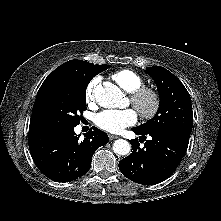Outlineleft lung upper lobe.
Returning <instances> with one entry per match:
<instances>
[{"label": "left lung upper lobe", "instance_id": "obj_1", "mask_svg": "<svg viewBox=\"0 0 221 221\" xmlns=\"http://www.w3.org/2000/svg\"><path fill=\"white\" fill-rule=\"evenodd\" d=\"M160 94L157 114L135 129L142 133L173 132L190 137L193 126L191 98L182 82L167 69L155 66L145 70Z\"/></svg>", "mask_w": 221, "mask_h": 221}]
</instances>
